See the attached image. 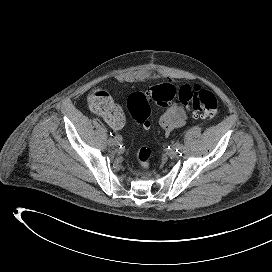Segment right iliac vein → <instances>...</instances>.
I'll list each match as a JSON object with an SVG mask.
<instances>
[{"mask_svg": "<svg viewBox=\"0 0 272 272\" xmlns=\"http://www.w3.org/2000/svg\"><path fill=\"white\" fill-rule=\"evenodd\" d=\"M108 144L110 145V146H113V145H119L120 143H121V138H120V140L118 141V142H116V143H113V142H111V140H110V138L108 139Z\"/></svg>", "mask_w": 272, "mask_h": 272, "instance_id": "63e3f726", "label": "right iliac vein"}]
</instances>
